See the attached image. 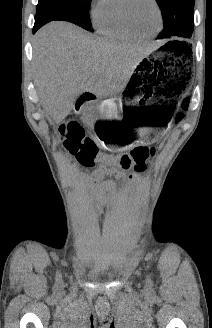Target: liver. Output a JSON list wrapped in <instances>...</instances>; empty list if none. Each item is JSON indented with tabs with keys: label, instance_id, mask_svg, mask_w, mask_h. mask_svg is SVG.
I'll list each match as a JSON object with an SVG mask.
<instances>
[{
	"label": "liver",
	"instance_id": "obj_1",
	"mask_svg": "<svg viewBox=\"0 0 212 328\" xmlns=\"http://www.w3.org/2000/svg\"><path fill=\"white\" fill-rule=\"evenodd\" d=\"M151 50L104 40L67 22H51L35 35L34 66L41 103L56 123L85 92L112 96L127 85Z\"/></svg>",
	"mask_w": 212,
	"mask_h": 328
}]
</instances>
